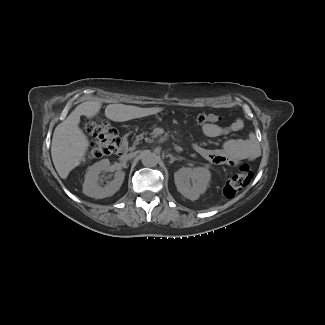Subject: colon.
I'll return each instance as SVG.
<instances>
[{
	"instance_id": "obj_1",
	"label": "colon",
	"mask_w": 325,
	"mask_h": 325,
	"mask_svg": "<svg viewBox=\"0 0 325 325\" xmlns=\"http://www.w3.org/2000/svg\"><path fill=\"white\" fill-rule=\"evenodd\" d=\"M220 120L215 114H201L197 117V123L202 126L208 123H217ZM85 130L91 136L89 155L101 157L114 153L120 143L117 131L104 119L89 122ZM253 177V172L248 164L239 166L238 171L227 181L224 194L231 198L246 187Z\"/></svg>"
}]
</instances>
